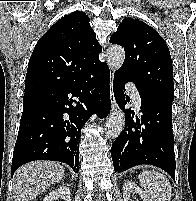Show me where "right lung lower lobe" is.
<instances>
[{
	"label": "right lung lower lobe",
	"instance_id": "obj_1",
	"mask_svg": "<svg viewBox=\"0 0 196 201\" xmlns=\"http://www.w3.org/2000/svg\"><path fill=\"white\" fill-rule=\"evenodd\" d=\"M109 80L100 62L73 81L24 95L12 175L34 160L64 162L77 173L82 127L93 113L104 118L110 112Z\"/></svg>",
	"mask_w": 196,
	"mask_h": 201
}]
</instances>
